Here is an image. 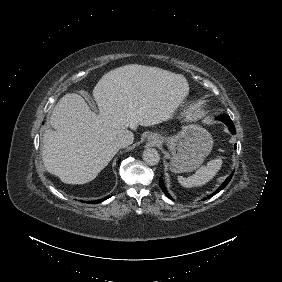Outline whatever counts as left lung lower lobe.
I'll return each mask as SVG.
<instances>
[{
  "label": "left lung lower lobe",
  "instance_id": "0a47b994",
  "mask_svg": "<svg viewBox=\"0 0 282 282\" xmlns=\"http://www.w3.org/2000/svg\"><path fill=\"white\" fill-rule=\"evenodd\" d=\"M217 119L220 120V121H222V122H224V123L228 126L229 130H230L232 133H236V131H235V126H234L232 120L230 119V117H229L228 115L222 114V115L218 116ZM232 175H233V173L226 179L225 182H223L222 186L219 187V188L217 189V191H215L213 194H211L210 196L206 197L205 199L212 197L213 195H215L216 193H218L220 190H222V189L229 183V181H230L231 178H232ZM159 185H160L161 189L163 190V192L167 195V197L171 198V196H170V195L168 194V192L166 191V188H165V186H164V184H163V180H162L161 177H160V180H159ZM205 199H203V200H205Z\"/></svg>",
  "mask_w": 282,
  "mask_h": 282
}]
</instances>
